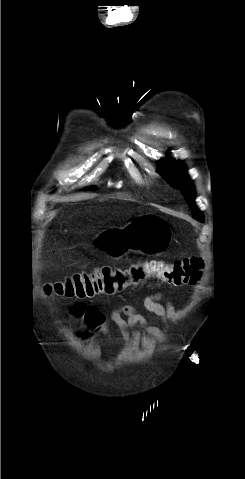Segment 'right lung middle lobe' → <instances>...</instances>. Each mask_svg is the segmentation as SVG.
<instances>
[{
    "label": "right lung middle lobe",
    "mask_w": 245,
    "mask_h": 479,
    "mask_svg": "<svg viewBox=\"0 0 245 479\" xmlns=\"http://www.w3.org/2000/svg\"><path fill=\"white\" fill-rule=\"evenodd\" d=\"M96 187H89V188H86L85 190H95Z\"/></svg>",
    "instance_id": "right-lung-middle-lobe-1"
}]
</instances>
